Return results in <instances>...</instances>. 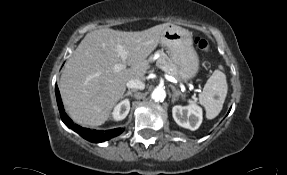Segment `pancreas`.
<instances>
[{
    "label": "pancreas",
    "instance_id": "1",
    "mask_svg": "<svg viewBox=\"0 0 287 175\" xmlns=\"http://www.w3.org/2000/svg\"><path fill=\"white\" fill-rule=\"evenodd\" d=\"M159 57L156 61V64L163 66L166 70L167 73L175 76L177 74L178 68L175 63L163 52V51H158Z\"/></svg>",
    "mask_w": 287,
    "mask_h": 175
}]
</instances>
